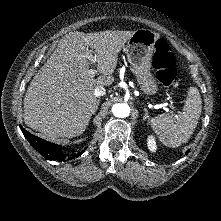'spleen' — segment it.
Wrapping results in <instances>:
<instances>
[{"mask_svg": "<svg viewBox=\"0 0 221 221\" xmlns=\"http://www.w3.org/2000/svg\"><path fill=\"white\" fill-rule=\"evenodd\" d=\"M202 101L196 87H190L183 111L177 116L161 114L150 120V125L160 142L167 147H179L186 143L201 115Z\"/></svg>", "mask_w": 221, "mask_h": 221, "instance_id": "obj_1", "label": "spleen"}]
</instances>
